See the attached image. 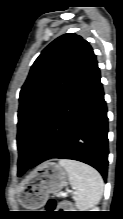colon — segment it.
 Segmentation results:
<instances>
[{
  "instance_id": "obj_1",
  "label": "colon",
  "mask_w": 123,
  "mask_h": 219,
  "mask_svg": "<svg viewBox=\"0 0 123 219\" xmlns=\"http://www.w3.org/2000/svg\"><path fill=\"white\" fill-rule=\"evenodd\" d=\"M48 207L51 209L58 208L62 211H70L72 206L68 202H58L56 199L52 198L48 202Z\"/></svg>"
}]
</instances>
